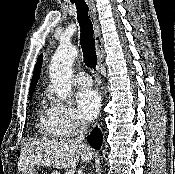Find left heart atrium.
Returning <instances> with one entry per match:
<instances>
[{
  "label": "left heart atrium",
  "instance_id": "obj_1",
  "mask_svg": "<svg viewBox=\"0 0 175 174\" xmlns=\"http://www.w3.org/2000/svg\"><path fill=\"white\" fill-rule=\"evenodd\" d=\"M78 110L82 118L85 120H93L100 110V97L98 93L92 89H83L76 95Z\"/></svg>",
  "mask_w": 175,
  "mask_h": 174
}]
</instances>
